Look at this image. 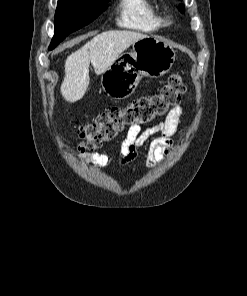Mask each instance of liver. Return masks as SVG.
<instances>
[{
	"instance_id": "1",
	"label": "liver",
	"mask_w": 247,
	"mask_h": 296,
	"mask_svg": "<svg viewBox=\"0 0 247 296\" xmlns=\"http://www.w3.org/2000/svg\"><path fill=\"white\" fill-rule=\"evenodd\" d=\"M147 35L134 31L112 30L96 35L65 61L61 94L67 102L80 100L89 83L90 62L97 75L102 74L134 42Z\"/></svg>"
}]
</instances>
